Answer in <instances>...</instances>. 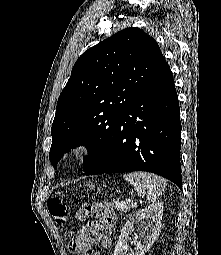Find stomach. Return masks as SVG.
<instances>
[{
  "mask_svg": "<svg viewBox=\"0 0 221 255\" xmlns=\"http://www.w3.org/2000/svg\"><path fill=\"white\" fill-rule=\"evenodd\" d=\"M89 187L92 189L94 188L95 186L93 184H89Z\"/></svg>",
  "mask_w": 221,
  "mask_h": 255,
  "instance_id": "0dacf381",
  "label": "stomach"
}]
</instances>
